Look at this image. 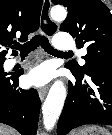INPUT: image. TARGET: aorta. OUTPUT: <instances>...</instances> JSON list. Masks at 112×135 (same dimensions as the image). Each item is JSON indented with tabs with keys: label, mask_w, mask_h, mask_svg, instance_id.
<instances>
[{
	"label": "aorta",
	"mask_w": 112,
	"mask_h": 135,
	"mask_svg": "<svg viewBox=\"0 0 112 135\" xmlns=\"http://www.w3.org/2000/svg\"><path fill=\"white\" fill-rule=\"evenodd\" d=\"M67 12L64 7H54L51 10V17L56 21L66 18ZM66 99V88L61 80H57L51 86L47 98L42 107L43 123L46 130H52L58 120Z\"/></svg>",
	"instance_id": "1"
}]
</instances>
